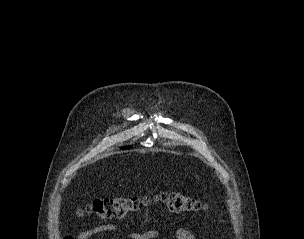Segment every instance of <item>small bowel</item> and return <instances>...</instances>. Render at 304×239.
<instances>
[{"instance_id":"small-bowel-1","label":"small bowel","mask_w":304,"mask_h":239,"mask_svg":"<svg viewBox=\"0 0 304 239\" xmlns=\"http://www.w3.org/2000/svg\"><path fill=\"white\" fill-rule=\"evenodd\" d=\"M116 230V226L111 223L97 225L87 230L80 232L77 237H65L63 239H89L92 236L104 232V231H114ZM131 238L133 239H154L158 237L157 230H149L144 232L143 234L132 233ZM175 239H195L194 234L187 228H178L174 232Z\"/></svg>"}]
</instances>
